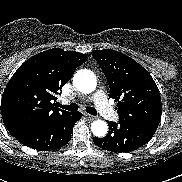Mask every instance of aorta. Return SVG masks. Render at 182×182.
<instances>
[{
    "label": "aorta",
    "mask_w": 182,
    "mask_h": 182,
    "mask_svg": "<svg viewBox=\"0 0 182 182\" xmlns=\"http://www.w3.org/2000/svg\"><path fill=\"white\" fill-rule=\"evenodd\" d=\"M73 85L81 93H92L97 85L96 76L88 69L79 70L73 77ZM91 131L95 136L103 137L107 134L108 125L103 120L93 121L91 124Z\"/></svg>",
    "instance_id": "obj_1"
}]
</instances>
